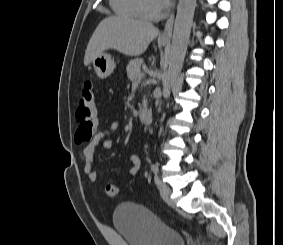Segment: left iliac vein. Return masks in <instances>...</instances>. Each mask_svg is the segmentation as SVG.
Instances as JSON below:
<instances>
[{
  "label": "left iliac vein",
  "instance_id": "obj_1",
  "mask_svg": "<svg viewBox=\"0 0 283 245\" xmlns=\"http://www.w3.org/2000/svg\"><path fill=\"white\" fill-rule=\"evenodd\" d=\"M156 185L159 190L160 196L162 197L163 200L166 202H170V194H171V189L167 184H165L163 181L160 180L158 176L155 177Z\"/></svg>",
  "mask_w": 283,
  "mask_h": 245
}]
</instances>
